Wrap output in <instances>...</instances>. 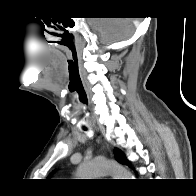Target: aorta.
<instances>
[{
  "label": "aorta",
  "instance_id": "1",
  "mask_svg": "<svg viewBox=\"0 0 196 196\" xmlns=\"http://www.w3.org/2000/svg\"><path fill=\"white\" fill-rule=\"evenodd\" d=\"M105 175H112L114 179H132L131 173L122 165L107 159L97 158L84 161L77 169L80 179H96Z\"/></svg>",
  "mask_w": 196,
  "mask_h": 196
}]
</instances>
